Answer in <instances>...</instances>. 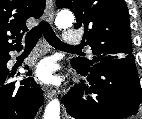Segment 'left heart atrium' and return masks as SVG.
Here are the masks:
<instances>
[{"mask_svg":"<svg viewBox=\"0 0 142 119\" xmlns=\"http://www.w3.org/2000/svg\"><path fill=\"white\" fill-rule=\"evenodd\" d=\"M37 77L43 82L54 81V76L52 74V65L49 61H43L39 64L37 71Z\"/></svg>","mask_w":142,"mask_h":119,"instance_id":"obj_1","label":"left heart atrium"}]
</instances>
